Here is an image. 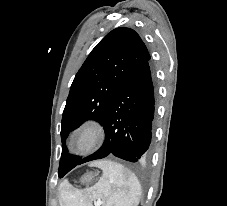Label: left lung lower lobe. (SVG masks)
<instances>
[{"instance_id": "1", "label": "left lung lower lobe", "mask_w": 227, "mask_h": 206, "mask_svg": "<svg viewBox=\"0 0 227 206\" xmlns=\"http://www.w3.org/2000/svg\"><path fill=\"white\" fill-rule=\"evenodd\" d=\"M154 118L155 89L148 61L124 82L111 102L103 123V146L77 165L108 155L131 162L146 158L151 150Z\"/></svg>"}]
</instances>
